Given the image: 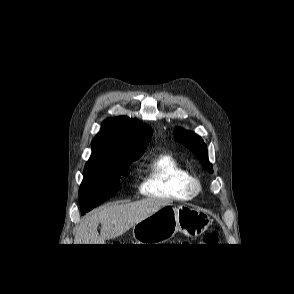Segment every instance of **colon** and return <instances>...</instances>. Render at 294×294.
Returning a JSON list of instances; mask_svg holds the SVG:
<instances>
[{"label":"colon","mask_w":294,"mask_h":294,"mask_svg":"<svg viewBox=\"0 0 294 294\" xmlns=\"http://www.w3.org/2000/svg\"><path fill=\"white\" fill-rule=\"evenodd\" d=\"M218 240V234L215 231L207 232L202 237V243L205 245L214 244Z\"/></svg>","instance_id":"1"}]
</instances>
